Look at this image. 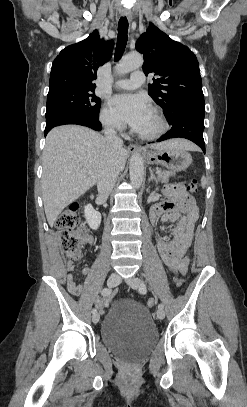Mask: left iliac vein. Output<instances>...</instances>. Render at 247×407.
Returning a JSON list of instances; mask_svg holds the SVG:
<instances>
[{
	"instance_id": "obj_1",
	"label": "left iliac vein",
	"mask_w": 247,
	"mask_h": 407,
	"mask_svg": "<svg viewBox=\"0 0 247 407\" xmlns=\"http://www.w3.org/2000/svg\"><path fill=\"white\" fill-rule=\"evenodd\" d=\"M127 283L132 289L136 290L140 287L141 280L138 277L133 276V277L127 279ZM156 314H157L158 319H160V320L164 319V317H165V312L161 309H158Z\"/></svg>"
}]
</instances>
